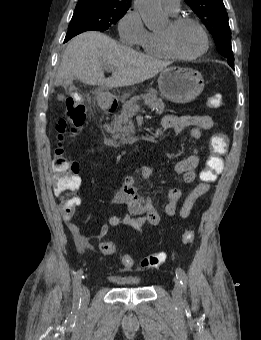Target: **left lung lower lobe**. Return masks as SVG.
I'll return each mask as SVG.
<instances>
[{"label": "left lung lower lobe", "mask_w": 261, "mask_h": 340, "mask_svg": "<svg viewBox=\"0 0 261 340\" xmlns=\"http://www.w3.org/2000/svg\"><path fill=\"white\" fill-rule=\"evenodd\" d=\"M229 65L234 69V63H229Z\"/></svg>", "instance_id": "0a47b994"}]
</instances>
